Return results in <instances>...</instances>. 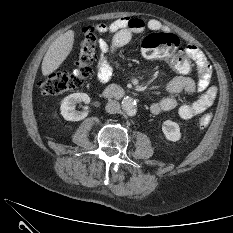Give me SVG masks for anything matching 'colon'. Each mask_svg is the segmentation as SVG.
Wrapping results in <instances>:
<instances>
[{
  "mask_svg": "<svg viewBox=\"0 0 233 233\" xmlns=\"http://www.w3.org/2000/svg\"><path fill=\"white\" fill-rule=\"evenodd\" d=\"M95 26L84 30L83 40L77 52L76 63L69 72H55L41 80L42 91L47 95H56L75 90L84 85L91 75V65L95 58ZM176 35L166 32L152 33L142 42V51L148 59H164L169 66L181 75L189 74L193 62L179 46ZM212 113L201 115L196 124L200 128L209 125Z\"/></svg>",
  "mask_w": 233,
  "mask_h": 233,
  "instance_id": "obj_1",
  "label": "colon"
}]
</instances>
